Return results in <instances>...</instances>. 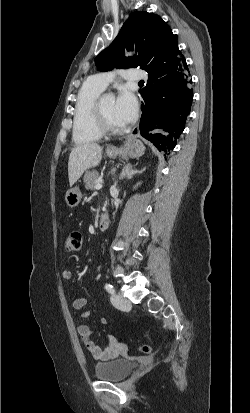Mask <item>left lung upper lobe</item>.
Here are the masks:
<instances>
[{
  "label": "left lung upper lobe",
  "mask_w": 250,
  "mask_h": 413,
  "mask_svg": "<svg viewBox=\"0 0 250 413\" xmlns=\"http://www.w3.org/2000/svg\"><path fill=\"white\" fill-rule=\"evenodd\" d=\"M177 35L159 16L148 12H134L123 24L118 36L95 58L99 71L113 68L140 67L147 71L152 65L156 49L162 42H177ZM138 51V56L126 57L124 50Z\"/></svg>",
  "instance_id": "left-lung-upper-lobe-1"
}]
</instances>
